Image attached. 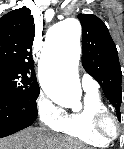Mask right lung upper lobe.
Returning a JSON list of instances; mask_svg holds the SVG:
<instances>
[{"label":"right lung upper lobe","mask_w":124,"mask_h":149,"mask_svg":"<svg viewBox=\"0 0 124 149\" xmlns=\"http://www.w3.org/2000/svg\"><path fill=\"white\" fill-rule=\"evenodd\" d=\"M34 19L30 9L13 10L0 18V66L20 70L35 79L32 43Z\"/></svg>","instance_id":"cb5924a9"}]
</instances>
